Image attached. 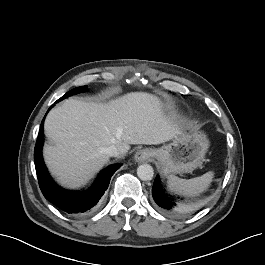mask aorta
<instances>
[{
	"instance_id": "aorta-1",
	"label": "aorta",
	"mask_w": 265,
	"mask_h": 265,
	"mask_svg": "<svg viewBox=\"0 0 265 265\" xmlns=\"http://www.w3.org/2000/svg\"><path fill=\"white\" fill-rule=\"evenodd\" d=\"M137 175L143 181H149L154 176L153 167L149 164H142L137 168Z\"/></svg>"
}]
</instances>
